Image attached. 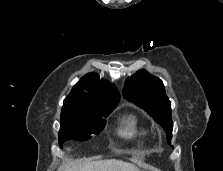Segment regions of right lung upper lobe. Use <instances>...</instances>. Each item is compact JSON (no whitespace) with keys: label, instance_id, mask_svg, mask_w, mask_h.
<instances>
[{"label":"right lung upper lobe","instance_id":"obj_1","mask_svg":"<svg viewBox=\"0 0 223 171\" xmlns=\"http://www.w3.org/2000/svg\"><path fill=\"white\" fill-rule=\"evenodd\" d=\"M115 87L95 73L82 77L65 98V107H112L119 102Z\"/></svg>","mask_w":223,"mask_h":171}]
</instances>
